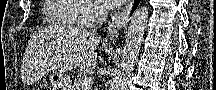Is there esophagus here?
Instances as JSON below:
<instances>
[{"label": "esophagus", "mask_w": 216, "mask_h": 90, "mask_svg": "<svg viewBox=\"0 0 216 90\" xmlns=\"http://www.w3.org/2000/svg\"><path fill=\"white\" fill-rule=\"evenodd\" d=\"M132 9V0H128L113 17V21L107 31V40L116 41L119 38V32L124 27L127 16Z\"/></svg>", "instance_id": "obj_1"}]
</instances>
